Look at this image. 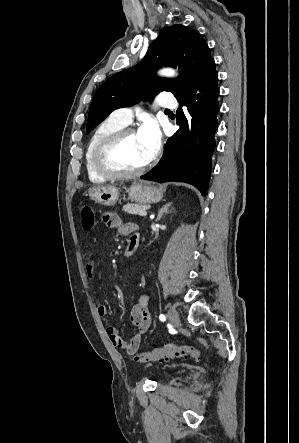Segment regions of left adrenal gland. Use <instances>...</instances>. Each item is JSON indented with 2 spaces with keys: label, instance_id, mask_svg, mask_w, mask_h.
Listing matches in <instances>:
<instances>
[{
  "label": "left adrenal gland",
  "instance_id": "1",
  "mask_svg": "<svg viewBox=\"0 0 299 443\" xmlns=\"http://www.w3.org/2000/svg\"><path fill=\"white\" fill-rule=\"evenodd\" d=\"M171 205H172V203H171V202H168V203L164 204V205L159 209V211H158V215H157V218H156V221H159V220L161 219V217L163 216L164 213H168V212H170V211H169V208H170Z\"/></svg>",
  "mask_w": 299,
  "mask_h": 443
}]
</instances>
